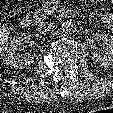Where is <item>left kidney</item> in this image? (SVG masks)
Listing matches in <instances>:
<instances>
[{
  "mask_svg": "<svg viewBox=\"0 0 113 113\" xmlns=\"http://www.w3.org/2000/svg\"><path fill=\"white\" fill-rule=\"evenodd\" d=\"M94 41H102L107 46V49L103 55H100L97 52L92 53V61L103 67L113 65V35L107 33H96Z\"/></svg>",
  "mask_w": 113,
  "mask_h": 113,
  "instance_id": "obj_1",
  "label": "left kidney"
}]
</instances>
